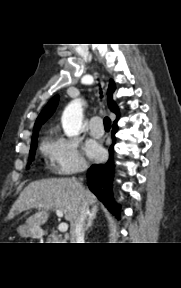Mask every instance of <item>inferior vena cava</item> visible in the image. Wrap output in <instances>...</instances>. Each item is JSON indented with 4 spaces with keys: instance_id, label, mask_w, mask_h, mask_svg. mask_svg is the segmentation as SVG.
I'll use <instances>...</instances> for the list:
<instances>
[{
    "instance_id": "obj_1",
    "label": "inferior vena cava",
    "mask_w": 181,
    "mask_h": 288,
    "mask_svg": "<svg viewBox=\"0 0 181 288\" xmlns=\"http://www.w3.org/2000/svg\"><path fill=\"white\" fill-rule=\"evenodd\" d=\"M88 166L83 164L80 168V172L87 170ZM80 180H83L80 178ZM89 214V207L85 200L82 201L80 207V213L74 224L70 229V243H84V231H85V221L87 215Z\"/></svg>"
}]
</instances>
